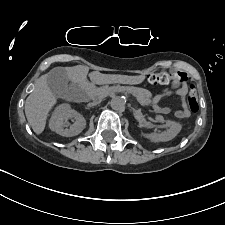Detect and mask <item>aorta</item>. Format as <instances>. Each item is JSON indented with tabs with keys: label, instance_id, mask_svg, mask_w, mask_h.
Wrapping results in <instances>:
<instances>
[{
	"label": "aorta",
	"instance_id": "aorta-1",
	"mask_svg": "<svg viewBox=\"0 0 225 225\" xmlns=\"http://www.w3.org/2000/svg\"><path fill=\"white\" fill-rule=\"evenodd\" d=\"M110 106L114 111L123 112L125 110V99L121 96H115L111 99Z\"/></svg>",
	"mask_w": 225,
	"mask_h": 225
}]
</instances>
